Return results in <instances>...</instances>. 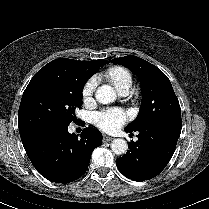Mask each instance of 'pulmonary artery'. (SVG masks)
<instances>
[{
    "instance_id": "obj_1",
    "label": "pulmonary artery",
    "mask_w": 209,
    "mask_h": 209,
    "mask_svg": "<svg viewBox=\"0 0 209 209\" xmlns=\"http://www.w3.org/2000/svg\"><path fill=\"white\" fill-rule=\"evenodd\" d=\"M120 94L122 96H127L129 94V90H123V91H120Z\"/></svg>"
}]
</instances>
